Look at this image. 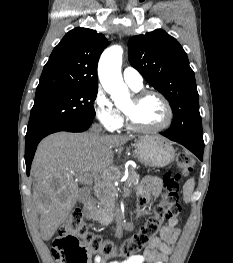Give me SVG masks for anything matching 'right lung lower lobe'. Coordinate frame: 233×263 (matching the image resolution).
<instances>
[{
  "instance_id": "right-lung-lower-lobe-1",
  "label": "right lung lower lobe",
  "mask_w": 233,
  "mask_h": 263,
  "mask_svg": "<svg viewBox=\"0 0 233 263\" xmlns=\"http://www.w3.org/2000/svg\"><path fill=\"white\" fill-rule=\"evenodd\" d=\"M91 120L77 121V122H65L49 126L40 130L39 132L26 137L25 142V162H26V173L29 175L31 163L37 148L38 143L45 136L58 132V131H70V132H82L87 130L92 124Z\"/></svg>"
}]
</instances>
